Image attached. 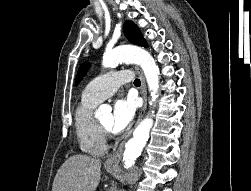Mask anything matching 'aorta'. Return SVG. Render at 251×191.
I'll use <instances>...</instances> for the list:
<instances>
[{"mask_svg":"<svg viewBox=\"0 0 251 191\" xmlns=\"http://www.w3.org/2000/svg\"><path fill=\"white\" fill-rule=\"evenodd\" d=\"M123 62L141 66L148 84L151 99L152 101H156L159 90L160 72L151 54L146 52V50H142V48H137V46H118V48H114L111 52L104 54L102 66H104V68H112L115 64H123ZM103 109L106 111L108 107H103ZM152 113H154V111H152ZM152 125V117L146 115V117L140 121L139 125H137L136 129H134L133 137L127 141L123 153L125 167L134 165L136 157H139L144 145H146V141L149 139Z\"/></svg>","mask_w":251,"mask_h":191,"instance_id":"aorta-1","label":"aorta"}]
</instances>
